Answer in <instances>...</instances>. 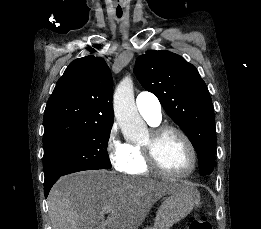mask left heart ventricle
<instances>
[{"label": "left heart ventricle", "instance_id": "1", "mask_svg": "<svg viewBox=\"0 0 261 229\" xmlns=\"http://www.w3.org/2000/svg\"><path fill=\"white\" fill-rule=\"evenodd\" d=\"M158 156L163 166L172 172H185L191 165L190 151L176 133H168L162 138Z\"/></svg>", "mask_w": 261, "mask_h": 229}]
</instances>
